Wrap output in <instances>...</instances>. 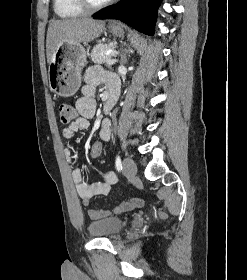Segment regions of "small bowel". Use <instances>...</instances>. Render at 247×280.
<instances>
[{
    "label": "small bowel",
    "mask_w": 247,
    "mask_h": 280,
    "mask_svg": "<svg viewBox=\"0 0 247 280\" xmlns=\"http://www.w3.org/2000/svg\"><path fill=\"white\" fill-rule=\"evenodd\" d=\"M85 85L81 89L82 96L76 102V110L79 117L63 130V136L66 139H74L76 133L89 127L90 119L95 115L96 111V86L106 82L109 88L118 89V81L112 74L105 72L101 67H90L84 76ZM112 133L111 122L104 120L99 130V137L105 142L110 140ZM65 155L70 166L72 178L77 193L84 205H89L91 199L98 195H108L112 186L116 183L117 178L114 172L105 171L101 173V179L98 182L90 183L85 180L82 170L78 165L77 159L70 148L65 149ZM143 204L139 198H130L123 201L114 208L90 209L88 216L93 219H101L111 215L112 213H123L132 209L141 207Z\"/></svg>",
    "instance_id": "c3829d8e"
}]
</instances>
